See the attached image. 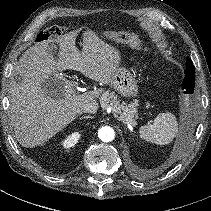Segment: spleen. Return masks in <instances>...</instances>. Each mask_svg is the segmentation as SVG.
<instances>
[{
    "instance_id": "1",
    "label": "spleen",
    "mask_w": 211,
    "mask_h": 211,
    "mask_svg": "<svg viewBox=\"0 0 211 211\" xmlns=\"http://www.w3.org/2000/svg\"><path fill=\"white\" fill-rule=\"evenodd\" d=\"M177 133L176 117L168 111L159 113L153 124H147L140 128V137L143 140L159 145L169 144Z\"/></svg>"
}]
</instances>
